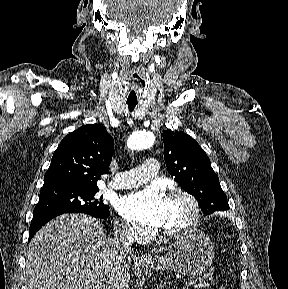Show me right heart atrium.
Here are the masks:
<instances>
[{"instance_id": "obj_1", "label": "right heart atrium", "mask_w": 288, "mask_h": 289, "mask_svg": "<svg viewBox=\"0 0 288 289\" xmlns=\"http://www.w3.org/2000/svg\"><path fill=\"white\" fill-rule=\"evenodd\" d=\"M117 229L124 237L130 240H140L146 235L144 228L127 221H118Z\"/></svg>"}]
</instances>
